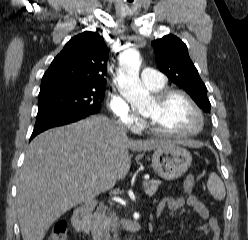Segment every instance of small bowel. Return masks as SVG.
Segmentation results:
<instances>
[{"instance_id":"1","label":"small bowel","mask_w":248,"mask_h":240,"mask_svg":"<svg viewBox=\"0 0 248 240\" xmlns=\"http://www.w3.org/2000/svg\"><path fill=\"white\" fill-rule=\"evenodd\" d=\"M166 207L171 217L195 212L205 222L199 229L205 232L211 240L220 239V226L217 218L212 216L206 205L195 196L166 197L157 204V215H160Z\"/></svg>"}]
</instances>
